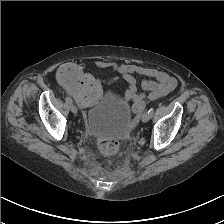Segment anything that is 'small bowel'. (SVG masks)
Segmentation results:
<instances>
[{"mask_svg":"<svg viewBox=\"0 0 224 224\" xmlns=\"http://www.w3.org/2000/svg\"><path fill=\"white\" fill-rule=\"evenodd\" d=\"M92 66L97 68H110L116 71L127 83V89L123 98L135 103L141 102L145 95L138 93L137 81L134 75L147 77L142 81L143 90L148 92L150 99L164 97L171 93L177 86V80L168 73L152 67H145L136 64H118L105 60H96Z\"/></svg>","mask_w":224,"mask_h":224,"instance_id":"small-bowel-1","label":"small bowel"}]
</instances>
